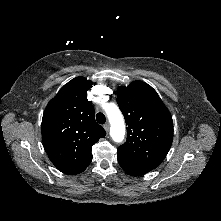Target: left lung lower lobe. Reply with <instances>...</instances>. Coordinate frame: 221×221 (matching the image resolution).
<instances>
[{
    "mask_svg": "<svg viewBox=\"0 0 221 221\" xmlns=\"http://www.w3.org/2000/svg\"><path fill=\"white\" fill-rule=\"evenodd\" d=\"M118 162L121 168L132 176H141L143 174L148 173L149 171L153 170L144 164L137 162L136 160L128 157L127 155L123 154L122 152L118 151Z\"/></svg>",
    "mask_w": 221,
    "mask_h": 221,
    "instance_id": "left-lung-lower-lobe-1",
    "label": "left lung lower lobe"
}]
</instances>
